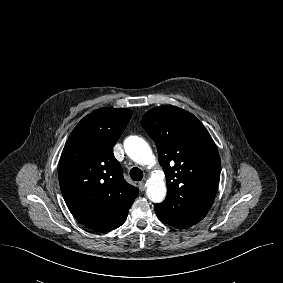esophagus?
I'll use <instances>...</instances> for the list:
<instances>
[{
	"instance_id": "34e87169",
	"label": "esophagus",
	"mask_w": 283,
	"mask_h": 283,
	"mask_svg": "<svg viewBox=\"0 0 283 283\" xmlns=\"http://www.w3.org/2000/svg\"><path fill=\"white\" fill-rule=\"evenodd\" d=\"M139 190L140 191H144L145 190V182L141 181L138 184Z\"/></svg>"
}]
</instances>
